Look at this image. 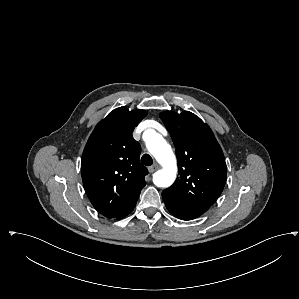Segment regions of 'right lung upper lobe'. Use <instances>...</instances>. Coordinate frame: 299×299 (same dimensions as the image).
<instances>
[{"instance_id": "cb5924a9", "label": "right lung upper lobe", "mask_w": 299, "mask_h": 299, "mask_svg": "<svg viewBox=\"0 0 299 299\" xmlns=\"http://www.w3.org/2000/svg\"><path fill=\"white\" fill-rule=\"evenodd\" d=\"M147 115L144 110L119 107L91 134L81 160L86 193L95 209L117 218L136 204L148 170L139 162L140 145L132 132Z\"/></svg>"}]
</instances>
